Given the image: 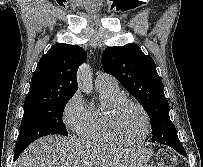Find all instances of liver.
Instances as JSON below:
<instances>
[{
    "label": "liver",
    "instance_id": "liver-1",
    "mask_svg": "<svg viewBox=\"0 0 203 167\" xmlns=\"http://www.w3.org/2000/svg\"><path fill=\"white\" fill-rule=\"evenodd\" d=\"M145 156L114 146L52 135L32 143L14 167H137Z\"/></svg>",
    "mask_w": 203,
    "mask_h": 167
}]
</instances>
